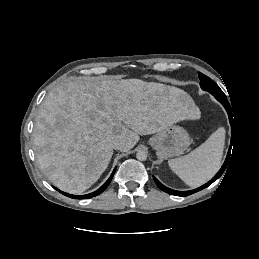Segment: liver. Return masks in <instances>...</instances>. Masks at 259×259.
<instances>
[{"mask_svg": "<svg viewBox=\"0 0 259 259\" xmlns=\"http://www.w3.org/2000/svg\"><path fill=\"white\" fill-rule=\"evenodd\" d=\"M200 110L182 90L140 79L74 77L45 98L36 117L34 151L40 169L59 189L80 194L107 169L112 141L127 152L149 135Z\"/></svg>", "mask_w": 259, "mask_h": 259, "instance_id": "obj_1", "label": "liver"}]
</instances>
